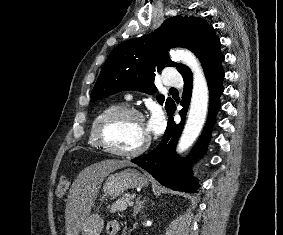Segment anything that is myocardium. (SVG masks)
Wrapping results in <instances>:
<instances>
[{
  "label": "myocardium",
  "mask_w": 283,
  "mask_h": 235,
  "mask_svg": "<svg viewBox=\"0 0 283 235\" xmlns=\"http://www.w3.org/2000/svg\"><path fill=\"white\" fill-rule=\"evenodd\" d=\"M122 117H136L144 122L143 114L133 107H119L104 114L98 121L95 128V139L105 152L120 156V157H136L143 154L150 146V137L147 136L146 140L136 149L123 151L112 146L106 138V129L108 125Z\"/></svg>",
  "instance_id": "obj_1"
}]
</instances>
